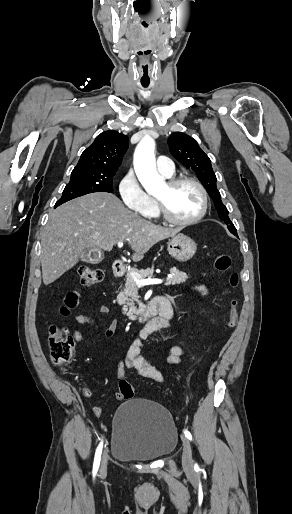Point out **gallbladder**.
Wrapping results in <instances>:
<instances>
[{"label":"gallbladder","instance_id":"1","mask_svg":"<svg viewBox=\"0 0 292 514\" xmlns=\"http://www.w3.org/2000/svg\"><path fill=\"white\" fill-rule=\"evenodd\" d=\"M80 258L82 262H89V256L87 250H84V252H81Z\"/></svg>","mask_w":292,"mask_h":514}]
</instances>
